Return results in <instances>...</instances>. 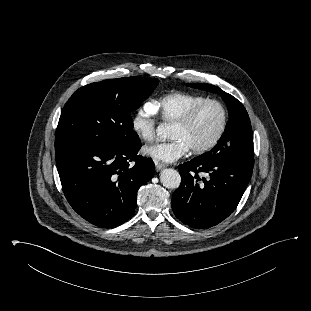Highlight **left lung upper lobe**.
<instances>
[{
	"label": "left lung upper lobe",
	"instance_id": "left-lung-upper-lobe-1",
	"mask_svg": "<svg viewBox=\"0 0 311 311\" xmlns=\"http://www.w3.org/2000/svg\"><path fill=\"white\" fill-rule=\"evenodd\" d=\"M187 86L221 95L229 112V120L220 140L212 150L200 156L204 158H222L232 155L253 156V132L243 104L232 95L210 84L189 83Z\"/></svg>",
	"mask_w": 311,
	"mask_h": 311
}]
</instances>
